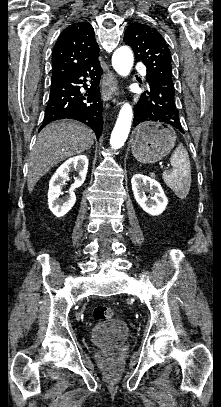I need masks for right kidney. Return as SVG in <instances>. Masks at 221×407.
<instances>
[{"mask_svg":"<svg viewBox=\"0 0 221 407\" xmlns=\"http://www.w3.org/2000/svg\"><path fill=\"white\" fill-rule=\"evenodd\" d=\"M71 170H76L79 175L75 178L74 183L71 185L68 192L69 195L63 199H60L59 196L63 194L61 192V186L65 184L68 173ZM87 170L88 158L85 155H77L66 160L51 177L48 190V205L49 209L56 217L64 216L74 206L76 202L74 190L84 183Z\"/></svg>","mask_w":221,"mask_h":407,"instance_id":"obj_1","label":"right kidney"}]
</instances>
